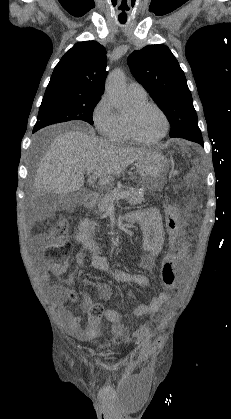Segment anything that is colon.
<instances>
[{
    "label": "colon",
    "instance_id": "colon-1",
    "mask_svg": "<svg viewBox=\"0 0 231 419\" xmlns=\"http://www.w3.org/2000/svg\"><path fill=\"white\" fill-rule=\"evenodd\" d=\"M178 220V208L173 204L168 205L165 212V223L169 233L170 245H166V253L162 254L159 266V280L164 290L168 293H174L178 288V281L175 275L177 258V250L175 247L177 242L175 240L178 232ZM68 230L69 223L67 220L63 219L58 221L51 230L53 241L49 243L44 250L45 260L54 264L59 271H65L67 269V260L72 251V243L67 239ZM165 302L171 303L172 297L166 296ZM103 313L104 307L99 303L94 304L90 309V314L94 318H101ZM112 331L117 340L125 338L122 326L119 323H114ZM134 333L144 348L157 346L160 343V340L158 339L151 344L148 337V331L145 328H137Z\"/></svg>",
    "mask_w": 231,
    "mask_h": 419
}]
</instances>
